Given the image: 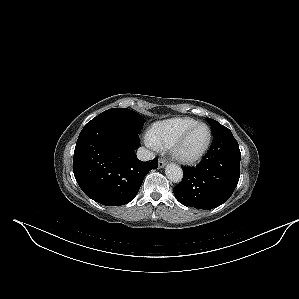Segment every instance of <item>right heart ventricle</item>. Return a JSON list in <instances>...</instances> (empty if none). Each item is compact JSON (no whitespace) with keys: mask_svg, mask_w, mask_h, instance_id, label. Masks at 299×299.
Wrapping results in <instances>:
<instances>
[{"mask_svg":"<svg viewBox=\"0 0 299 299\" xmlns=\"http://www.w3.org/2000/svg\"><path fill=\"white\" fill-rule=\"evenodd\" d=\"M197 123L192 118H171L154 123L148 131L149 141L158 148H169L190 126Z\"/></svg>","mask_w":299,"mask_h":299,"instance_id":"obj_1","label":"right heart ventricle"}]
</instances>
